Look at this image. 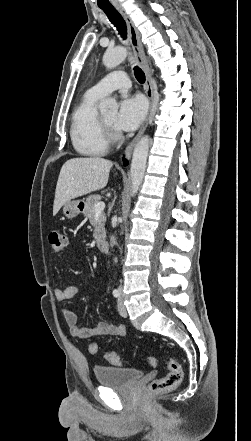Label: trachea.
I'll return each mask as SVG.
<instances>
[{
    "instance_id": "obj_1",
    "label": "trachea",
    "mask_w": 251,
    "mask_h": 441,
    "mask_svg": "<svg viewBox=\"0 0 251 441\" xmlns=\"http://www.w3.org/2000/svg\"><path fill=\"white\" fill-rule=\"evenodd\" d=\"M101 9L107 15L110 22L116 27L120 36L123 39H126L127 36L126 23L122 18V16L119 14V12L114 8H101ZM134 75L139 83L145 82V74L138 66L134 67Z\"/></svg>"
}]
</instances>
